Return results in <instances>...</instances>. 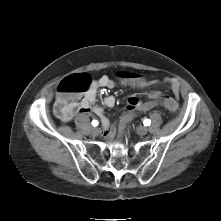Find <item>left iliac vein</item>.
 Returning a JSON list of instances; mask_svg holds the SVG:
<instances>
[{
    "label": "left iliac vein",
    "mask_w": 221,
    "mask_h": 221,
    "mask_svg": "<svg viewBox=\"0 0 221 221\" xmlns=\"http://www.w3.org/2000/svg\"><path fill=\"white\" fill-rule=\"evenodd\" d=\"M136 132H137V134H139V135H146L147 132H148V128H147V127H144V126L137 127V128H136Z\"/></svg>",
    "instance_id": "obj_1"
}]
</instances>
